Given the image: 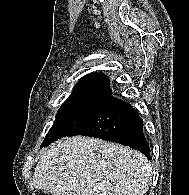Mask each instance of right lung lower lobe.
Instances as JSON below:
<instances>
[{
    "label": "right lung lower lobe",
    "instance_id": "obj_1",
    "mask_svg": "<svg viewBox=\"0 0 189 195\" xmlns=\"http://www.w3.org/2000/svg\"><path fill=\"white\" fill-rule=\"evenodd\" d=\"M90 136L120 143L151 159L150 147L143 134V121L133 107L109 96L88 120L68 136Z\"/></svg>",
    "mask_w": 189,
    "mask_h": 195
}]
</instances>
